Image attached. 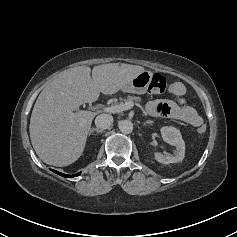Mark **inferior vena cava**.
<instances>
[{"mask_svg": "<svg viewBox=\"0 0 237 237\" xmlns=\"http://www.w3.org/2000/svg\"><path fill=\"white\" fill-rule=\"evenodd\" d=\"M113 123V117L110 114H100L95 119V125L99 129H107Z\"/></svg>", "mask_w": 237, "mask_h": 237, "instance_id": "inferior-vena-cava-1", "label": "inferior vena cava"}]
</instances>
